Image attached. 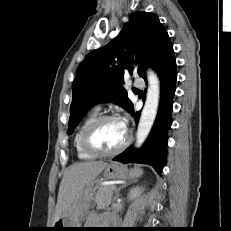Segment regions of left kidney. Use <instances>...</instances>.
Listing matches in <instances>:
<instances>
[{"label":"left kidney","instance_id":"left-kidney-1","mask_svg":"<svg viewBox=\"0 0 231 231\" xmlns=\"http://www.w3.org/2000/svg\"><path fill=\"white\" fill-rule=\"evenodd\" d=\"M143 192V188L142 187H134L132 188L129 193H128V200L133 201L135 199H137Z\"/></svg>","mask_w":231,"mask_h":231}]
</instances>
